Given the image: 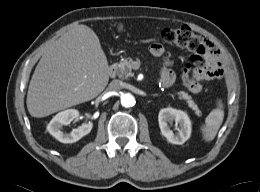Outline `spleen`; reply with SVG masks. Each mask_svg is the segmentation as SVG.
Instances as JSON below:
<instances>
[{
  "instance_id": "spleen-1",
  "label": "spleen",
  "mask_w": 260,
  "mask_h": 192,
  "mask_svg": "<svg viewBox=\"0 0 260 192\" xmlns=\"http://www.w3.org/2000/svg\"><path fill=\"white\" fill-rule=\"evenodd\" d=\"M224 118V110L222 101H217V108L212 110L205 119V124L202 126L201 131L203 133V139L206 142L212 141L220 126L222 125Z\"/></svg>"
}]
</instances>
